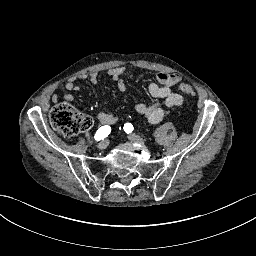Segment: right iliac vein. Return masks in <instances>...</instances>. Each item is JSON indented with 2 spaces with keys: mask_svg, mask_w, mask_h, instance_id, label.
Segmentation results:
<instances>
[{
  "mask_svg": "<svg viewBox=\"0 0 256 256\" xmlns=\"http://www.w3.org/2000/svg\"><path fill=\"white\" fill-rule=\"evenodd\" d=\"M100 150H104L108 147V141L107 140H103L101 141L98 146H97Z\"/></svg>",
  "mask_w": 256,
  "mask_h": 256,
  "instance_id": "63e3f726",
  "label": "right iliac vein"
}]
</instances>
